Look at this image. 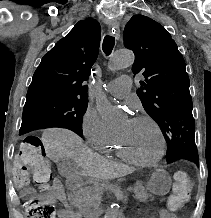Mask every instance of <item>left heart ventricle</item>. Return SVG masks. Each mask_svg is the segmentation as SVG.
I'll return each instance as SVG.
<instances>
[{
  "mask_svg": "<svg viewBox=\"0 0 211 218\" xmlns=\"http://www.w3.org/2000/svg\"><path fill=\"white\" fill-rule=\"evenodd\" d=\"M116 134L140 159L152 160L160 152V138L154 126L141 119H125Z\"/></svg>",
  "mask_w": 211,
  "mask_h": 218,
  "instance_id": "1",
  "label": "left heart ventricle"
}]
</instances>
